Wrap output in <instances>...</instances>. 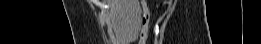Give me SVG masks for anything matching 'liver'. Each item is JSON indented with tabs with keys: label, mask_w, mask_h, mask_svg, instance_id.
<instances>
[{
	"label": "liver",
	"mask_w": 261,
	"mask_h": 44,
	"mask_svg": "<svg viewBox=\"0 0 261 44\" xmlns=\"http://www.w3.org/2000/svg\"><path fill=\"white\" fill-rule=\"evenodd\" d=\"M110 15L114 31L123 44L137 38L140 28L139 0H112Z\"/></svg>",
	"instance_id": "obj_1"
}]
</instances>
